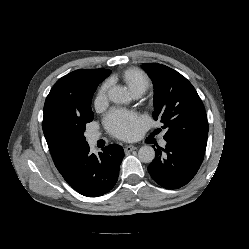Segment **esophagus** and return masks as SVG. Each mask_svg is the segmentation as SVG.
I'll return each mask as SVG.
<instances>
[{"instance_id": "34e87169", "label": "esophagus", "mask_w": 249, "mask_h": 249, "mask_svg": "<svg viewBox=\"0 0 249 249\" xmlns=\"http://www.w3.org/2000/svg\"><path fill=\"white\" fill-rule=\"evenodd\" d=\"M135 149H137V147L134 146V145H127V146L124 147V151H125L126 154L130 153L131 151H133Z\"/></svg>"}]
</instances>
